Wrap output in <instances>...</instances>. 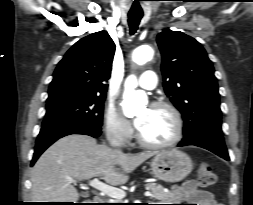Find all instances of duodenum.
Wrapping results in <instances>:
<instances>
[{"label": "duodenum", "instance_id": "410a0bca", "mask_svg": "<svg viewBox=\"0 0 253 205\" xmlns=\"http://www.w3.org/2000/svg\"><path fill=\"white\" fill-rule=\"evenodd\" d=\"M93 201H94L96 204H99V203L102 201V199H101L99 196H95V197H93Z\"/></svg>", "mask_w": 253, "mask_h": 205}]
</instances>
